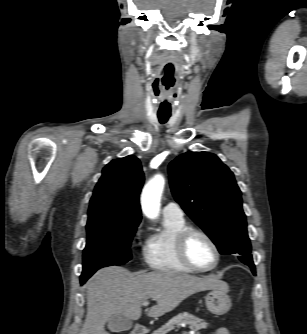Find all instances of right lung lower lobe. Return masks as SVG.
<instances>
[{"instance_id":"98d812e1","label":"right lung lower lobe","mask_w":307,"mask_h":334,"mask_svg":"<svg viewBox=\"0 0 307 334\" xmlns=\"http://www.w3.org/2000/svg\"><path fill=\"white\" fill-rule=\"evenodd\" d=\"M85 282H83L82 280H81V284H84Z\"/></svg>"}]
</instances>
